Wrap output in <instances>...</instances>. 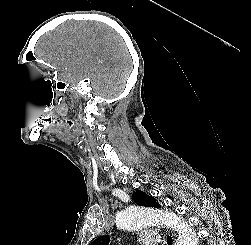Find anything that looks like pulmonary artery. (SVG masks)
I'll return each instance as SVG.
<instances>
[{
  "label": "pulmonary artery",
  "instance_id": "pulmonary-artery-1",
  "mask_svg": "<svg viewBox=\"0 0 251 245\" xmlns=\"http://www.w3.org/2000/svg\"><path fill=\"white\" fill-rule=\"evenodd\" d=\"M140 245H157L159 243V237L155 232H145L139 237Z\"/></svg>",
  "mask_w": 251,
  "mask_h": 245
}]
</instances>
